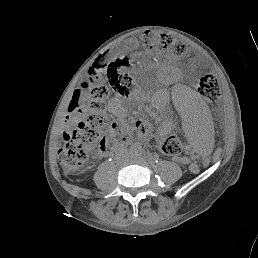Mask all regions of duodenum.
Wrapping results in <instances>:
<instances>
[{
	"instance_id": "duodenum-1",
	"label": "duodenum",
	"mask_w": 258,
	"mask_h": 258,
	"mask_svg": "<svg viewBox=\"0 0 258 258\" xmlns=\"http://www.w3.org/2000/svg\"><path fill=\"white\" fill-rule=\"evenodd\" d=\"M115 146H116V149H117V150H116V153L119 152L121 149L124 148V146L121 145L120 143L116 144Z\"/></svg>"
}]
</instances>
